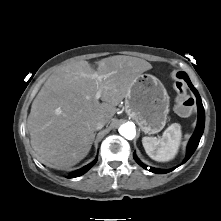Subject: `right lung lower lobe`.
<instances>
[{"label": "right lung lower lobe", "mask_w": 221, "mask_h": 221, "mask_svg": "<svg viewBox=\"0 0 221 221\" xmlns=\"http://www.w3.org/2000/svg\"><path fill=\"white\" fill-rule=\"evenodd\" d=\"M97 162V159H95L92 163L88 164L87 166L79 169V170H76L75 172H73L69 178H74V177H78V176H81L83 175L86 171H88L95 163Z\"/></svg>", "instance_id": "right-lung-lower-lobe-1"}]
</instances>
